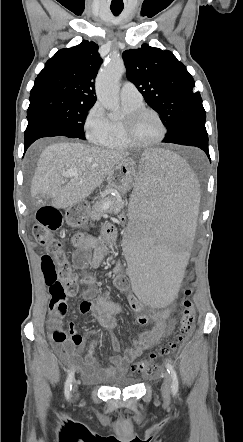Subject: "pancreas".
<instances>
[{
	"instance_id": "pancreas-1",
	"label": "pancreas",
	"mask_w": 243,
	"mask_h": 442,
	"mask_svg": "<svg viewBox=\"0 0 243 442\" xmlns=\"http://www.w3.org/2000/svg\"><path fill=\"white\" fill-rule=\"evenodd\" d=\"M109 203V207L107 209H103V206ZM124 207V203L119 199L108 197L104 199L98 200L90 209L89 217L92 220H100L102 216H104L107 212L109 213H118Z\"/></svg>"
}]
</instances>
